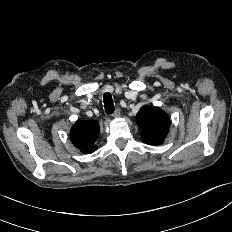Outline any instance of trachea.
I'll list each match as a JSON object with an SVG mask.
<instances>
[{
  "mask_svg": "<svg viewBox=\"0 0 232 232\" xmlns=\"http://www.w3.org/2000/svg\"><path fill=\"white\" fill-rule=\"evenodd\" d=\"M104 108L107 114H112L114 112V103L112 96L109 92L103 95Z\"/></svg>",
  "mask_w": 232,
  "mask_h": 232,
  "instance_id": "obj_1",
  "label": "trachea"
}]
</instances>
